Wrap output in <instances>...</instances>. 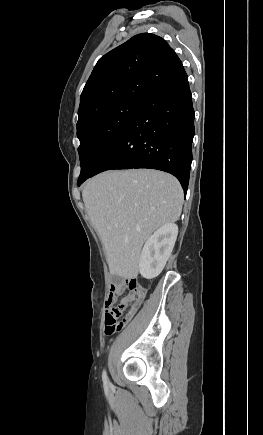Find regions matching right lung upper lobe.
Instances as JSON below:
<instances>
[{"label": "right lung upper lobe", "instance_id": "cb5924a9", "mask_svg": "<svg viewBox=\"0 0 263 435\" xmlns=\"http://www.w3.org/2000/svg\"><path fill=\"white\" fill-rule=\"evenodd\" d=\"M182 69L181 60L161 37H132L98 60L81 94L77 126L102 105L123 99L144 102Z\"/></svg>", "mask_w": 263, "mask_h": 435}]
</instances>
